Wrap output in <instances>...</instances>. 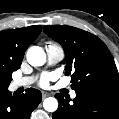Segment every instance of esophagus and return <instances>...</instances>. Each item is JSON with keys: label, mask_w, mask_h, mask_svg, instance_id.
<instances>
[{"label": "esophagus", "mask_w": 119, "mask_h": 119, "mask_svg": "<svg viewBox=\"0 0 119 119\" xmlns=\"http://www.w3.org/2000/svg\"><path fill=\"white\" fill-rule=\"evenodd\" d=\"M51 94L49 93V92H45V91H43L42 92V97L43 98H46V97H48V96H50Z\"/></svg>", "instance_id": "esophagus-1"}]
</instances>
